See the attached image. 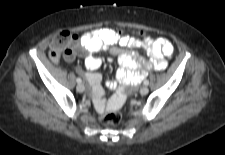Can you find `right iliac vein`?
Wrapping results in <instances>:
<instances>
[{
  "instance_id": "1",
  "label": "right iliac vein",
  "mask_w": 225,
  "mask_h": 155,
  "mask_svg": "<svg viewBox=\"0 0 225 155\" xmlns=\"http://www.w3.org/2000/svg\"><path fill=\"white\" fill-rule=\"evenodd\" d=\"M76 89H77L78 92L82 93L85 90V86L83 84L79 83L77 85Z\"/></svg>"
}]
</instances>
